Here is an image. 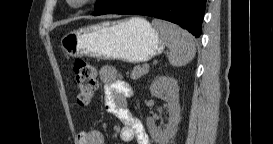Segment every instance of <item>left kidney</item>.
Here are the masks:
<instances>
[{"label":"left kidney","mask_w":273,"mask_h":144,"mask_svg":"<svg viewBox=\"0 0 273 144\" xmlns=\"http://www.w3.org/2000/svg\"><path fill=\"white\" fill-rule=\"evenodd\" d=\"M153 96L167 102L169 119L166 129L161 130L155 125L153 117L147 118V127L151 137L159 144H168L176 132L180 122L179 86L176 79L167 75L158 76L150 86Z\"/></svg>","instance_id":"left-kidney-1"}]
</instances>
